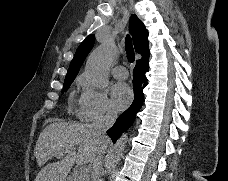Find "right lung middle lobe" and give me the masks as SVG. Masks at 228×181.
Instances as JSON below:
<instances>
[{
  "mask_svg": "<svg viewBox=\"0 0 228 181\" xmlns=\"http://www.w3.org/2000/svg\"><path fill=\"white\" fill-rule=\"evenodd\" d=\"M73 80L65 81L63 85V91H67Z\"/></svg>",
  "mask_w": 228,
  "mask_h": 181,
  "instance_id": "dd1d6c3e",
  "label": "right lung middle lobe"
}]
</instances>
